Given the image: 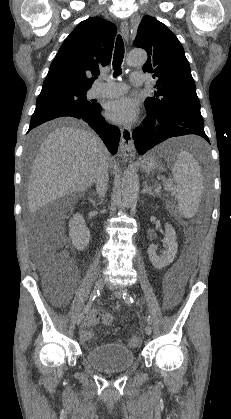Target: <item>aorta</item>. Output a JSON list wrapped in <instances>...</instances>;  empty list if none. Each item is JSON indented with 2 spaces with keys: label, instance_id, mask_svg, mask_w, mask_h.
I'll return each mask as SVG.
<instances>
[{
  "label": "aorta",
  "instance_id": "1",
  "mask_svg": "<svg viewBox=\"0 0 231 419\" xmlns=\"http://www.w3.org/2000/svg\"><path fill=\"white\" fill-rule=\"evenodd\" d=\"M147 61V53L142 49H134L127 56V64L130 66H142ZM139 179L137 171L128 167L122 176V199L126 205H130L137 194Z\"/></svg>",
  "mask_w": 231,
  "mask_h": 419
}]
</instances>
